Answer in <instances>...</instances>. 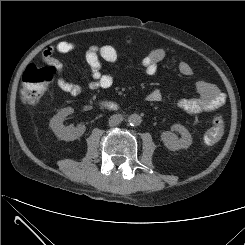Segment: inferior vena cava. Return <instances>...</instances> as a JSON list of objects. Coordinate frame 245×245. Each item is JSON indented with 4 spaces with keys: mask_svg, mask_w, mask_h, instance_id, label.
<instances>
[{
    "mask_svg": "<svg viewBox=\"0 0 245 245\" xmlns=\"http://www.w3.org/2000/svg\"><path fill=\"white\" fill-rule=\"evenodd\" d=\"M122 121H123V118L121 115L114 114V115L110 116V118H109V125L110 126H116V125L120 124Z\"/></svg>",
    "mask_w": 245,
    "mask_h": 245,
    "instance_id": "602c4592",
    "label": "inferior vena cava"
}]
</instances>
